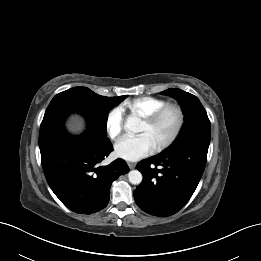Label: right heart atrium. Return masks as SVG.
<instances>
[{
    "label": "right heart atrium",
    "mask_w": 261,
    "mask_h": 261,
    "mask_svg": "<svg viewBox=\"0 0 261 261\" xmlns=\"http://www.w3.org/2000/svg\"><path fill=\"white\" fill-rule=\"evenodd\" d=\"M124 111L120 107L111 109L105 119V129L111 139L117 138L124 128Z\"/></svg>",
    "instance_id": "right-heart-atrium-1"
}]
</instances>
